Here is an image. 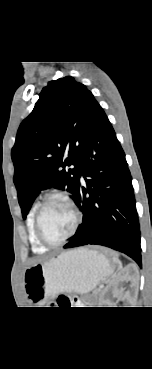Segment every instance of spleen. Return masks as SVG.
Returning <instances> with one entry per match:
<instances>
[{"mask_svg":"<svg viewBox=\"0 0 152 369\" xmlns=\"http://www.w3.org/2000/svg\"><path fill=\"white\" fill-rule=\"evenodd\" d=\"M110 254L113 256V261L115 262L118 258V254H116L114 252H110Z\"/></svg>","mask_w":152,"mask_h":369,"instance_id":"spleen-1","label":"spleen"}]
</instances>
